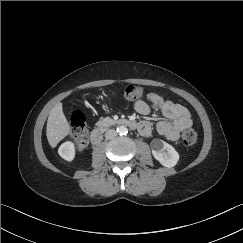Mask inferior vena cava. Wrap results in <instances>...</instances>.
<instances>
[{
  "instance_id": "602c4592",
  "label": "inferior vena cava",
  "mask_w": 243,
  "mask_h": 243,
  "mask_svg": "<svg viewBox=\"0 0 243 243\" xmlns=\"http://www.w3.org/2000/svg\"><path fill=\"white\" fill-rule=\"evenodd\" d=\"M117 135V132L114 129H109L105 133V138L106 139H113Z\"/></svg>"
}]
</instances>
